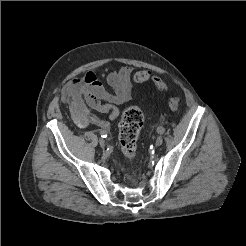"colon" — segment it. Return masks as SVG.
Returning a JSON list of instances; mask_svg holds the SVG:
<instances>
[{
	"label": "colon",
	"mask_w": 246,
	"mask_h": 246,
	"mask_svg": "<svg viewBox=\"0 0 246 246\" xmlns=\"http://www.w3.org/2000/svg\"><path fill=\"white\" fill-rule=\"evenodd\" d=\"M133 79L136 83L152 80L158 91L165 92L167 90L165 81L147 70L137 71ZM168 107L171 111L177 112L180 107V99L170 97L168 99ZM143 122L144 115L139 107L129 106L123 110L119 124V142L123 155L130 161L136 158L137 139Z\"/></svg>",
	"instance_id": "obj_1"
}]
</instances>
